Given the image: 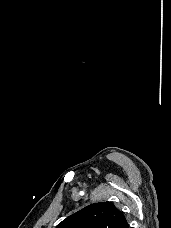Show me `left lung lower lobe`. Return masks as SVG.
<instances>
[{"label": "left lung lower lobe", "mask_w": 171, "mask_h": 228, "mask_svg": "<svg viewBox=\"0 0 171 228\" xmlns=\"http://www.w3.org/2000/svg\"><path fill=\"white\" fill-rule=\"evenodd\" d=\"M122 228H130L128 223H126Z\"/></svg>", "instance_id": "1"}]
</instances>
